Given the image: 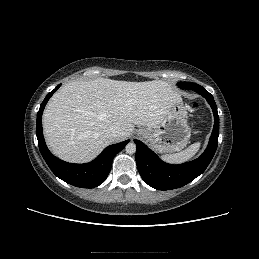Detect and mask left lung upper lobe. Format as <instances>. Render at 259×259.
<instances>
[{
  "label": "left lung upper lobe",
  "mask_w": 259,
  "mask_h": 259,
  "mask_svg": "<svg viewBox=\"0 0 259 259\" xmlns=\"http://www.w3.org/2000/svg\"><path fill=\"white\" fill-rule=\"evenodd\" d=\"M178 86L186 90H197L200 87V85L190 82H179Z\"/></svg>",
  "instance_id": "1"
}]
</instances>
